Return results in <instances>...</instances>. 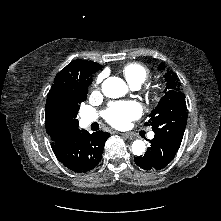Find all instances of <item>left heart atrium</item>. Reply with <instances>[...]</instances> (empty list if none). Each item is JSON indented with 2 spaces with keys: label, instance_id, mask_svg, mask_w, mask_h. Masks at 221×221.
<instances>
[{
  "label": "left heart atrium",
  "instance_id": "1",
  "mask_svg": "<svg viewBox=\"0 0 221 221\" xmlns=\"http://www.w3.org/2000/svg\"><path fill=\"white\" fill-rule=\"evenodd\" d=\"M141 113V107L136 102H118L106 111L105 119L113 127L125 128L132 120L139 118Z\"/></svg>",
  "mask_w": 221,
  "mask_h": 221
}]
</instances>
